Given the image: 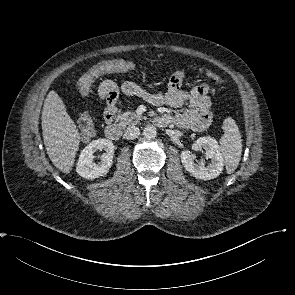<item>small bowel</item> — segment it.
I'll list each match as a JSON object with an SVG mask.
<instances>
[{"instance_id":"c3829d8e","label":"small bowel","mask_w":295,"mask_h":295,"mask_svg":"<svg viewBox=\"0 0 295 295\" xmlns=\"http://www.w3.org/2000/svg\"><path fill=\"white\" fill-rule=\"evenodd\" d=\"M127 62L132 64L129 61ZM180 88L170 81L166 93H151L140 83L128 81L118 86L112 80H105L99 86V93L105 101L104 113L108 122L114 118L115 104L119 93L122 92L126 95L138 96L152 104H166L172 108H181L179 113L165 116L180 128L202 131L207 127L211 118L209 111L211 102L207 95L208 87L200 85L189 91Z\"/></svg>"}]
</instances>
